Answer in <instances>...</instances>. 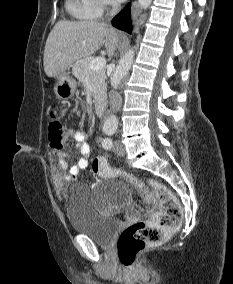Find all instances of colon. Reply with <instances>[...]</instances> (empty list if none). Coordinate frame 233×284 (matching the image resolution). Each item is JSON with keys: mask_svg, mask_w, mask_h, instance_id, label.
Here are the masks:
<instances>
[{"mask_svg": "<svg viewBox=\"0 0 233 284\" xmlns=\"http://www.w3.org/2000/svg\"><path fill=\"white\" fill-rule=\"evenodd\" d=\"M48 141L52 148L61 149L66 141V129L55 111H52L48 121ZM94 174L104 179L123 178L130 183L148 203L157 200L159 211L148 222L139 221L125 228L119 236L117 252L121 264L127 270H134L138 255L149 245L164 241L167 234L179 227L182 210L175 195L164 184L148 179L151 187L136 176L112 167L104 157H96L91 165Z\"/></svg>", "mask_w": 233, "mask_h": 284, "instance_id": "obj_1", "label": "colon"}]
</instances>
